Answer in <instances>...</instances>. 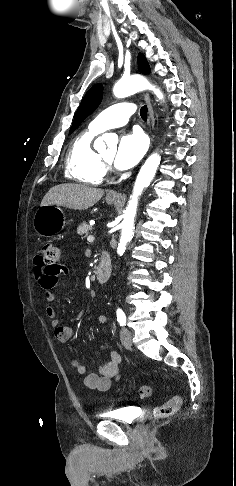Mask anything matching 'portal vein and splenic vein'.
Instances as JSON below:
<instances>
[{
	"mask_svg": "<svg viewBox=\"0 0 236 486\" xmlns=\"http://www.w3.org/2000/svg\"><path fill=\"white\" fill-rule=\"evenodd\" d=\"M94 239H95V238H94V236H92V235H90V236H88V237H87V241H88V242H93V241H94Z\"/></svg>",
	"mask_w": 236,
	"mask_h": 486,
	"instance_id": "18ae733b",
	"label": "portal vein and splenic vein"
}]
</instances>
